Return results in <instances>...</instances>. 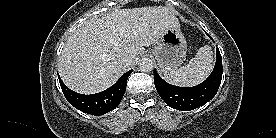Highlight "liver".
I'll list each match as a JSON object with an SVG mask.
<instances>
[{
  "label": "liver",
  "mask_w": 276,
  "mask_h": 138,
  "mask_svg": "<svg viewBox=\"0 0 276 138\" xmlns=\"http://www.w3.org/2000/svg\"><path fill=\"white\" fill-rule=\"evenodd\" d=\"M177 18L165 6L115 9L86 21L67 39L59 61L64 84L82 94H94L113 85L144 52L157 43ZM130 56L131 65L120 58Z\"/></svg>",
  "instance_id": "liver-1"
}]
</instances>
